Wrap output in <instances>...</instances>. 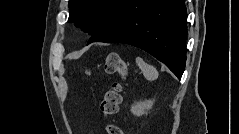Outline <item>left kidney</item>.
Returning <instances> with one entry per match:
<instances>
[{
  "instance_id": "obj_1",
  "label": "left kidney",
  "mask_w": 239,
  "mask_h": 134,
  "mask_svg": "<svg viewBox=\"0 0 239 134\" xmlns=\"http://www.w3.org/2000/svg\"><path fill=\"white\" fill-rule=\"evenodd\" d=\"M154 100H144L136 102L131 106V112L135 116H142L147 114L148 110L152 108Z\"/></svg>"
}]
</instances>
